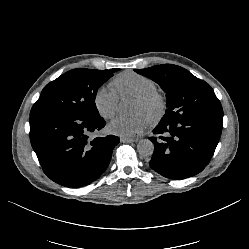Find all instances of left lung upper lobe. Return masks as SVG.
<instances>
[{"label":"left lung upper lobe","mask_w":249,"mask_h":249,"mask_svg":"<svg viewBox=\"0 0 249 249\" xmlns=\"http://www.w3.org/2000/svg\"><path fill=\"white\" fill-rule=\"evenodd\" d=\"M134 71L158 83L166 93L167 109L161 123L183 118L223 116L221 103L211 86L188 70L164 64Z\"/></svg>","instance_id":"left-lung-upper-lobe-1"}]
</instances>
